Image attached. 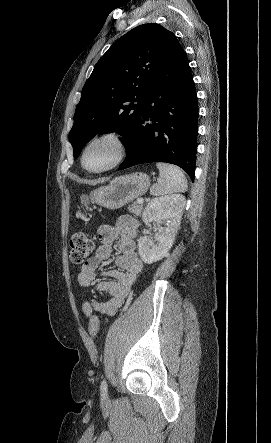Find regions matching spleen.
<instances>
[{
  "label": "spleen",
  "instance_id": "1",
  "mask_svg": "<svg viewBox=\"0 0 271 443\" xmlns=\"http://www.w3.org/2000/svg\"><path fill=\"white\" fill-rule=\"evenodd\" d=\"M160 178L158 184L150 188L151 196H165L174 192H186L187 180L180 168L169 166V164H156Z\"/></svg>",
  "mask_w": 271,
  "mask_h": 443
}]
</instances>
